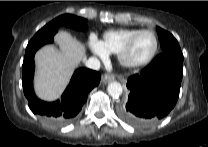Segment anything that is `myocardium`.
<instances>
[{
	"mask_svg": "<svg viewBox=\"0 0 208 147\" xmlns=\"http://www.w3.org/2000/svg\"><path fill=\"white\" fill-rule=\"evenodd\" d=\"M151 34L155 40V47L151 55L140 62H133L129 60L128 55L129 52L135 43V41L142 35V34ZM159 50V40L157 38V35L151 31V30H140L139 32L135 33L132 37L129 38V40L125 43V45L121 48V50L117 53L118 61L119 63L128 69H135V68H140L148 65L152 60L155 58Z\"/></svg>",
	"mask_w": 208,
	"mask_h": 147,
	"instance_id": "myocardium-1",
	"label": "myocardium"
}]
</instances>
